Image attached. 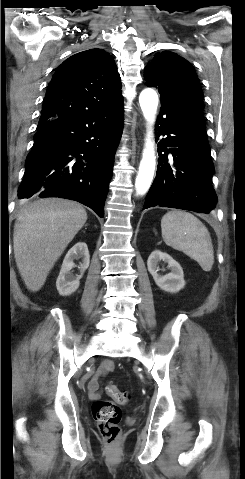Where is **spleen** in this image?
<instances>
[{
  "label": "spleen",
  "instance_id": "spleen-1",
  "mask_svg": "<svg viewBox=\"0 0 245 479\" xmlns=\"http://www.w3.org/2000/svg\"><path fill=\"white\" fill-rule=\"evenodd\" d=\"M161 229L166 245L198 262L204 271L212 269L214 251L210 233L197 217L173 210L162 217Z\"/></svg>",
  "mask_w": 245,
  "mask_h": 479
}]
</instances>
